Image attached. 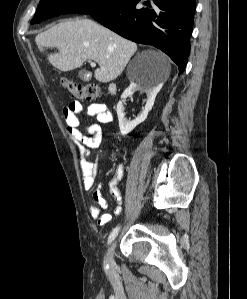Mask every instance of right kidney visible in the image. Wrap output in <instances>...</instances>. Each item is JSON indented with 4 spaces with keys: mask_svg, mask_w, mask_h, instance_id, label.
Segmentation results:
<instances>
[{
    "mask_svg": "<svg viewBox=\"0 0 247 299\" xmlns=\"http://www.w3.org/2000/svg\"><path fill=\"white\" fill-rule=\"evenodd\" d=\"M140 88L147 94V101L145 107L134 120H128L125 117L123 102L127 97L131 96L135 91H137ZM161 88V83L154 86L145 85L141 87L140 84L132 81L129 87L122 93L121 101L118 102L116 111L119 120L120 132L123 136L130 133L137 125L145 121L149 111L152 109L154 105L156 95L158 94Z\"/></svg>",
    "mask_w": 247,
    "mask_h": 299,
    "instance_id": "obj_1",
    "label": "right kidney"
}]
</instances>
